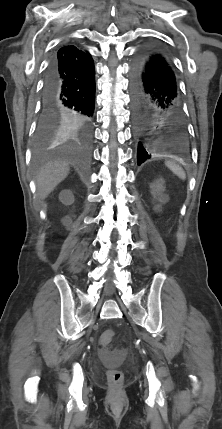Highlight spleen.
Listing matches in <instances>:
<instances>
[{"instance_id":"1","label":"spleen","mask_w":222,"mask_h":429,"mask_svg":"<svg viewBox=\"0 0 222 429\" xmlns=\"http://www.w3.org/2000/svg\"><path fill=\"white\" fill-rule=\"evenodd\" d=\"M166 166L174 173L176 174L179 178L181 179H185L186 178V174L184 172V170L176 163L174 162H166Z\"/></svg>"}]
</instances>
